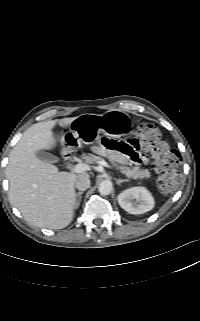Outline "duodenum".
Wrapping results in <instances>:
<instances>
[{
  "mask_svg": "<svg viewBox=\"0 0 200 321\" xmlns=\"http://www.w3.org/2000/svg\"><path fill=\"white\" fill-rule=\"evenodd\" d=\"M65 163L69 164V159L68 158H65Z\"/></svg>",
  "mask_w": 200,
  "mask_h": 321,
  "instance_id": "obj_1",
  "label": "duodenum"
}]
</instances>
